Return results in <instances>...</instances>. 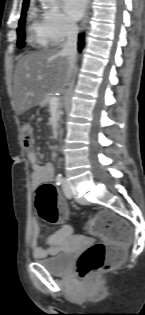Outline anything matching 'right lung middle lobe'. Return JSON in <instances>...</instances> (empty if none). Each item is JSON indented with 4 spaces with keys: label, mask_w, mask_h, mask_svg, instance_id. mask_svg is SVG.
I'll list each match as a JSON object with an SVG mask.
<instances>
[{
    "label": "right lung middle lobe",
    "mask_w": 145,
    "mask_h": 315,
    "mask_svg": "<svg viewBox=\"0 0 145 315\" xmlns=\"http://www.w3.org/2000/svg\"><path fill=\"white\" fill-rule=\"evenodd\" d=\"M27 7L28 6H25L22 8L21 18L19 21L18 29H17V34H18L17 45L20 48L24 46V39H25L24 24H25V16H26Z\"/></svg>",
    "instance_id": "dd1d6c3e"
}]
</instances>
